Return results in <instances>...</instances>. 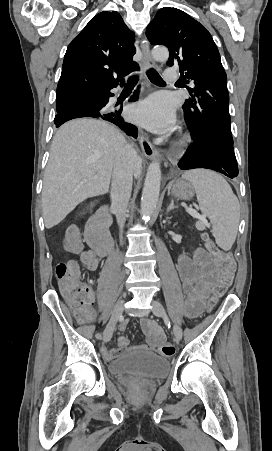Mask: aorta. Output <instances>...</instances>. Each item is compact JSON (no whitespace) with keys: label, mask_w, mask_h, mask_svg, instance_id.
Here are the masks:
<instances>
[{"label":"aorta","mask_w":272,"mask_h":451,"mask_svg":"<svg viewBox=\"0 0 272 451\" xmlns=\"http://www.w3.org/2000/svg\"><path fill=\"white\" fill-rule=\"evenodd\" d=\"M152 58L158 60V62H163V60H168L169 52L167 48H154L152 50ZM161 184V170L160 164L155 160L150 164L146 178L145 184L142 192L141 198V216L143 220H149L154 214V210L157 206L159 192Z\"/></svg>","instance_id":"1"}]
</instances>
